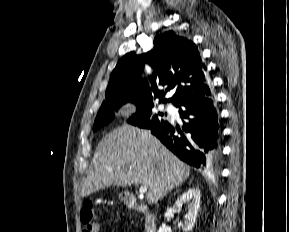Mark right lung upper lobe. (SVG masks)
I'll list each match as a JSON object with an SVG mask.
<instances>
[{
    "label": "right lung upper lobe",
    "mask_w": 289,
    "mask_h": 232,
    "mask_svg": "<svg viewBox=\"0 0 289 232\" xmlns=\"http://www.w3.org/2000/svg\"><path fill=\"white\" fill-rule=\"evenodd\" d=\"M154 44L146 54L130 52L122 57L111 73L106 99L121 96L153 102V98L161 97L159 103L172 102L177 106L189 99L213 95L206 66L193 42L168 31L156 36ZM145 63L153 68L152 87L138 77ZM156 79L159 85L169 86L166 92L176 88L171 98L163 99L165 92L157 88Z\"/></svg>",
    "instance_id": "cb5924a9"
}]
</instances>
